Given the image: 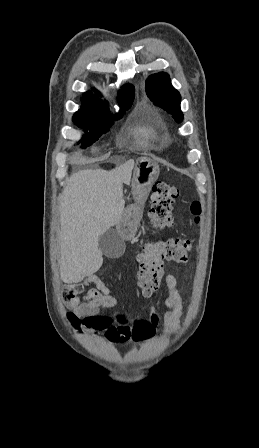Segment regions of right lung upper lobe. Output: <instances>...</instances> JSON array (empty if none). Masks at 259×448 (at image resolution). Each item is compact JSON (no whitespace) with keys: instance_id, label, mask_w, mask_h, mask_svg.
<instances>
[{"instance_id":"1","label":"right lung upper lobe","mask_w":259,"mask_h":448,"mask_svg":"<svg viewBox=\"0 0 259 448\" xmlns=\"http://www.w3.org/2000/svg\"><path fill=\"white\" fill-rule=\"evenodd\" d=\"M134 87L130 84H126L122 87V90L119 92V103L123 110L128 109L132 101L134 99ZM96 95L92 94V92H87L83 95L82 98V107L74 114H94L109 111L108 106H106L101 99L97 96H101L99 92H95Z\"/></svg>"}]
</instances>
